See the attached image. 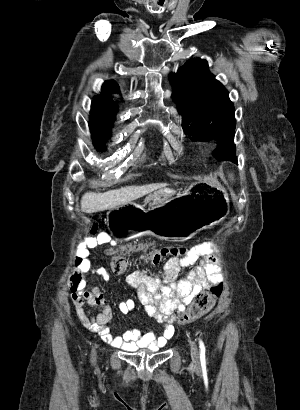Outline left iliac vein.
Returning a JSON list of instances; mask_svg holds the SVG:
<instances>
[{
    "label": "left iliac vein",
    "instance_id": "obj_1",
    "mask_svg": "<svg viewBox=\"0 0 300 410\" xmlns=\"http://www.w3.org/2000/svg\"><path fill=\"white\" fill-rule=\"evenodd\" d=\"M191 358L194 364H199V352L194 342L191 343Z\"/></svg>",
    "mask_w": 300,
    "mask_h": 410
}]
</instances>
